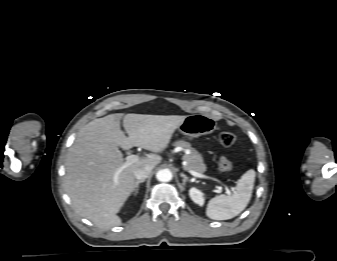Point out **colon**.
I'll use <instances>...</instances> for the list:
<instances>
[{
    "label": "colon",
    "instance_id": "5ec220e1",
    "mask_svg": "<svg viewBox=\"0 0 337 261\" xmlns=\"http://www.w3.org/2000/svg\"><path fill=\"white\" fill-rule=\"evenodd\" d=\"M235 135L231 132H221L219 135V142L223 147H230L235 143ZM219 169L223 172H231L233 170L232 162L226 158L222 157L219 160Z\"/></svg>",
    "mask_w": 337,
    "mask_h": 261
}]
</instances>
